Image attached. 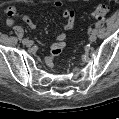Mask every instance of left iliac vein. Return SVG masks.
I'll use <instances>...</instances> for the list:
<instances>
[{"mask_svg":"<svg viewBox=\"0 0 119 119\" xmlns=\"http://www.w3.org/2000/svg\"><path fill=\"white\" fill-rule=\"evenodd\" d=\"M97 37H96V34L95 33H92L90 36H89V41L90 42H94L96 41Z\"/></svg>","mask_w":119,"mask_h":119,"instance_id":"left-iliac-vein-1","label":"left iliac vein"}]
</instances>
